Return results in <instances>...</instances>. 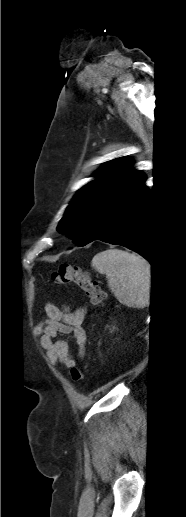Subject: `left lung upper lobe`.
I'll return each mask as SVG.
<instances>
[{
    "label": "left lung upper lobe",
    "instance_id": "1",
    "mask_svg": "<svg viewBox=\"0 0 186 517\" xmlns=\"http://www.w3.org/2000/svg\"><path fill=\"white\" fill-rule=\"evenodd\" d=\"M131 165L130 159L118 158L99 169L96 179L74 196L57 230L72 236L78 246L88 244L103 216L143 177Z\"/></svg>",
    "mask_w": 186,
    "mask_h": 517
}]
</instances>
